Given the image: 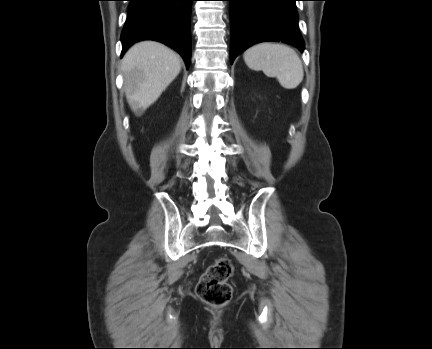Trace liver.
Returning a JSON list of instances; mask_svg holds the SVG:
<instances>
[{"mask_svg": "<svg viewBox=\"0 0 432 349\" xmlns=\"http://www.w3.org/2000/svg\"><path fill=\"white\" fill-rule=\"evenodd\" d=\"M181 70L178 54L154 41L133 45L122 59L126 98L140 115L151 106Z\"/></svg>", "mask_w": 432, "mask_h": 349, "instance_id": "obj_1", "label": "liver"}]
</instances>
